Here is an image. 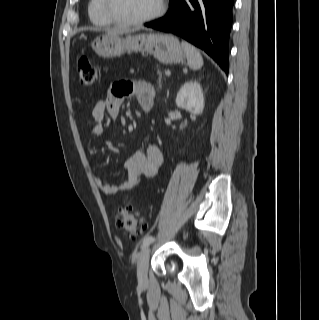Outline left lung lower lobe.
Wrapping results in <instances>:
<instances>
[{"instance_id": "1", "label": "left lung lower lobe", "mask_w": 319, "mask_h": 320, "mask_svg": "<svg viewBox=\"0 0 319 320\" xmlns=\"http://www.w3.org/2000/svg\"><path fill=\"white\" fill-rule=\"evenodd\" d=\"M233 5L234 0H170L167 14L145 26L183 37L228 73Z\"/></svg>"}]
</instances>
